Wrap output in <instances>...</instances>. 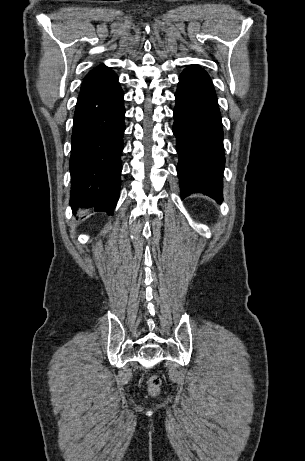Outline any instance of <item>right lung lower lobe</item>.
<instances>
[{"label":"right lung lower lobe","mask_w":305,"mask_h":461,"mask_svg":"<svg viewBox=\"0 0 305 461\" xmlns=\"http://www.w3.org/2000/svg\"><path fill=\"white\" fill-rule=\"evenodd\" d=\"M123 91L113 72L85 79L71 137L72 206L113 214L119 198L125 130Z\"/></svg>","instance_id":"1"}]
</instances>
